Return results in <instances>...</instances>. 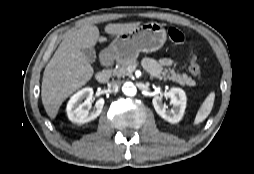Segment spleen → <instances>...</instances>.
I'll use <instances>...</instances> for the list:
<instances>
[{
  "instance_id": "spleen-1",
  "label": "spleen",
  "mask_w": 254,
  "mask_h": 174,
  "mask_svg": "<svg viewBox=\"0 0 254 174\" xmlns=\"http://www.w3.org/2000/svg\"><path fill=\"white\" fill-rule=\"evenodd\" d=\"M214 99H215V93L211 92L206 97V99L204 100L202 105L200 106V108L196 114L195 120H194L195 124H199V123L203 122L208 117V115L210 114V112L212 110V107L214 104Z\"/></svg>"
}]
</instances>
